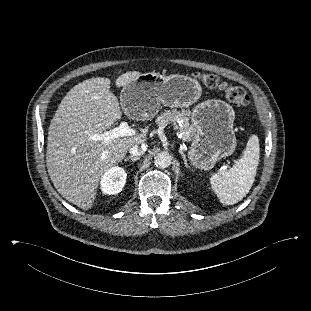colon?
Here are the masks:
<instances>
[{"mask_svg": "<svg viewBox=\"0 0 311 311\" xmlns=\"http://www.w3.org/2000/svg\"><path fill=\"white\" fill-rule=\"evenodd\" d=\"M195 77L199 79L208 88H219L226 92V96L231 104L239 111H245L249 109L250 98L247 92L240 86H231L226 82L220 80L215 74H195Z\"/></svg>", "mask_w": 311, "mask_h": 311, "instance_id": "5ec220e1", "label": "colon"}]
</instances>
